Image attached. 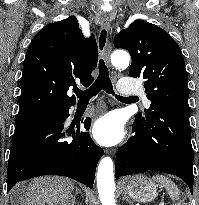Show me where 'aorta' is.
Segmentation results:
<instances>
[{
  "label": "aorta",
  "mask_w": 199,
  "mask_h": 205,
  "mask_svg": "<svg viewBox=\"0 0 199 205\" xmlns=\"http://www.w3.org/2000/svg\"><path fill=\"white\" fill-rule=\"evenodd\" d=\"M130 56L128 52L117 50L111 55V62L115 67L127 68ZM97 188L102 205L115 204V183L113 173V161L110 157L101 159L97 172Z\"/></svg>",
  "instance_id": "1"
}]
</instances>
